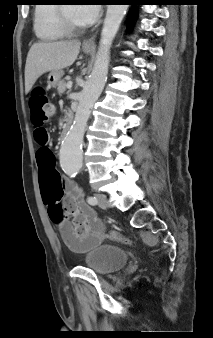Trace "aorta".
<instances>
[{
  "instance_id": "762f6f07",
  "label": "aorta",
  "mask_w": 213,
  "mask_h": 338,
  "mask_svg": "<svg viewBox=\"0 0 213 338\" xmlns=\"http://www.w3.org/2000/svg\"><path fill=\"white\" fill-rule=\"evenodd\" d=\"M127 8L128 5L107 6L96 61L79 95V103L73 124L61 146L60 164L62 170L68 175L77 174L82 168V144L85 127L91 110L105 86L110 62L111 44Z\"/></svg>"
}]
</instances>
